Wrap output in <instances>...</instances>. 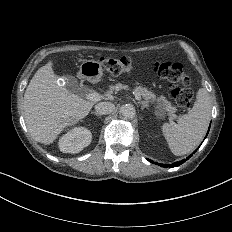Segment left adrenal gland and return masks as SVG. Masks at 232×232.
<instances>
[{
	"mask_svg": "<svg viewBox=\"0 0 232 232\" xmlns=\"http://www.w3.org/2000/svg\"><path fill=\"white\" fill-rule=\"evenodd\" d=\"M139 104H142L143 108H146L145 102L140 101Z\"/></svg>",
	"mask_w": 232,
	"mask_h": 232,
	"instance_id": "obj_1",
	"label": "left adrenal gland"
}]
</instances>
